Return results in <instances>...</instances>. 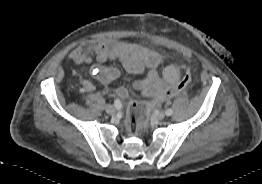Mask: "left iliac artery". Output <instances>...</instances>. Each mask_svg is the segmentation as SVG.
<instances>
[{
  "instance_id": "left-iliac-artery-1",
  "label": "left iliac artery",
  "mask_w": 262,
  "mask_h": 184,
  "mask_svg": "<svg viewBox=\"0 0 262 184\" xmlns=\"http://www.w3.org/2000/svg\"><path fill=\"white\" fill-rule=\"evenodd\" d=\"M165 114H166L167 116L172 115V114H173L172 109H166V110H165Z\"/></svg>"
}]
</instances>
